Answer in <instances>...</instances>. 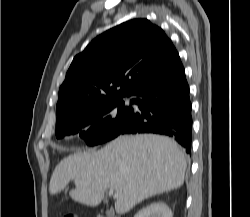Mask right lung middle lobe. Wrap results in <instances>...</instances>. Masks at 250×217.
I'll list each match as a JSON object with an SVG mask.
<instances>
[{"label": "right lung middle lobe", "instance_id": "1", "mask_svg": "<svg viewBox=\"0 0 250 217\" xmlns=\"http://www.w3.org/2000/svg\"><path fill=\"white\" fill-rule=\"evenodd\" d=\"M133 114L122 99L106 101L80 110L56 123V137L78 134L94 146L117 137Z\"/></svg>", "mask_w": 250, "mask_h": 217}]
</instances>
